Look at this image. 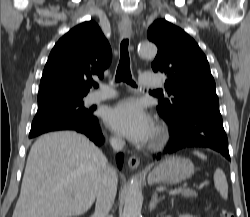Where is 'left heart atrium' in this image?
<instances>
[{
  "mask_svg": "<svg viewBox=\"0 0 250 217\" xmlns=\"http://www.w3.org/2000/svg\"><path fill=\"white\" fill-rule=\"evenodd\" d=\"M107 125L130 141L138 144L148 142L155 131L152 118L135 99H125L109 107L105 112Z\"/></svg>",
  "mask_w": 250,
  "mask_h": 217,
  "instance_id": "left-heart-atrium-1",
  "label": "left heart atrium"
}]
</instances>
